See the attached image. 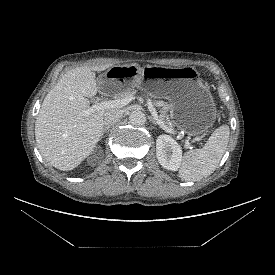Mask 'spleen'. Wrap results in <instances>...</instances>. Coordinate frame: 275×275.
<instances>
[{
    "label": "spleen",
    "mask_w": 275,
    "mask_h": 275,
    "mask_svg": "<svg viewBox=\"0 0 275 275\" xmlns=\"http://www.w3.org/2000/svg\"><path fill=\"white\" fill-rule=\"evenodd\" d=\"M229 126L218 127L202 149L187 151L178 176L183 181H198L210 176L218 167L229 141Z\"/></svg>",
    "instance_id": "3e777b00"
}]
</instances>
